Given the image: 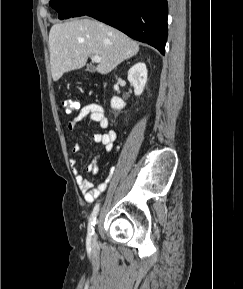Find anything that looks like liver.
I'll return each instance as SVG.
<instances>
[{
    "label": "liver",
    "mask_w": 243,
    "mask_h": 289,
    "mask_svg": "<svg viewBox=\"0 0 243 289\" xmlns=\"http://www.w3.org/2000/svg\"><path fill=\"white\" fill-rule=\"evenodd\" d=\"M138 51L139 44L136 41L109 25L89 18L54 24L49 33L54 81L66 72L82 68L90 55L103 58L96 71L108 74Z\"/></svg>",
    "instance_id": "6515ba94"
}]
</instances>
